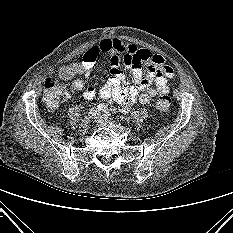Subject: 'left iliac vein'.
<instances>
[{
	"label": "left iliac vein",
	"instance_id": "left-iliac-vein-1",
	"mask_svg": "<svg viewBox=\"0 0 233 233\" xmlns=\"http://www.w3.org/2000/svg\"><path fill=\"white\" fill-rule=\"evenodd\" d=\"M94 119L101 126L111 128V129H113L115 131L130 133V130L128 128H126L124 126H121V125H118V124H116L114 122H111V121L105 119L104 117L101 116L100 113H96L94 115Z\"/></svg>",
	"mask_w": 233,
	"mask_h": 233
}]
</instances>
